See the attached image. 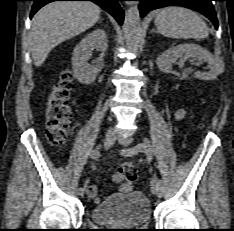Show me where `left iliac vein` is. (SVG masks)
Masks as SVG:
<instances>
[{"mask_svg": "<svg viewBox=\"0 0 234 231\" xmlns=\"http://www.w3.org/2000/svg\"><path fill=\"white\" fill-rule=\"evenodd\" d=\"M118 141L124 147L129 146L132 142L131 139L128 137H119ZM150 186H151V192L153 194H158L159 180L156 174H154L153 177L151 178Z\"/></svg>", "mask_w": 234, "mask_h": 231, "instance_id": "4c4485c4", "label": "left iliac vein"}]
</instances>
